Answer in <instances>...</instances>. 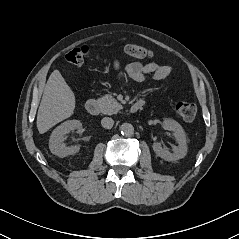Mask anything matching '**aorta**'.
<instances>
[{"label":"aorta","mask_w":239,"mask_h":239,"mask_svg":"<svg viewBox=\"0 0 239 239\" xmlns=\"http://www.w3.org/2000/svg\"><path fill=\"white\" fill-rule=\"evenodd\" d=\"M121 133L125 136H132L134 134V127L130 123H123L120 126Z\"/></svg>","instance_id":"obj_1"}]
</instances>
